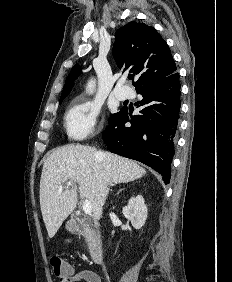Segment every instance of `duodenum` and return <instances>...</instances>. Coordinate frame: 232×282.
<instances>
[{
  "label": "duodenum",
  "instance_id": "duodenum-1",
  "mask_svg": "<svg viewBox=\"0 0 232 282\" xmlns=\"http://www.w3.org/2000/svg\"><path fill=\"white\" fill-rule=\"evenodd\" d=\"M73 227L76 232L90 236L89 250L94 263L101 264L103 261V244L100 238L90 229L84 220L79 217L72 218Z\"/></svg>",
  "mask_w": 232,
  "mask_h": 282
}]
</instances>
